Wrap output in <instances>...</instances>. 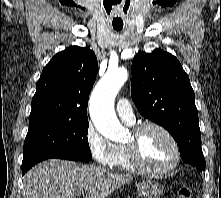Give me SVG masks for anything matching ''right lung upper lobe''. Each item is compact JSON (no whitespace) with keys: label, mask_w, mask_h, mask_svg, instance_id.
Instances as JSON below:
<instances>
[{"label":"right lung upper lobe","mask_w":221,"mask_h":198,"mask_svg":"<svg viewBox=\"0 0 221 198\" xmlns=\"http://www.w3.org/2000/svg\"><path fill=\"white\" fill-rule=\"evenodd\" d=\"M97 68V58L88 48L71 46L56 54L36 84L29 123L42 119H88V97Z\"/></svg>","instance_id":"cb5924a9"}]
</instances>
